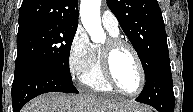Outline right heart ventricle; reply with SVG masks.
Listing matches in <instances>:
<instances>
[{
    "mask_svg": "<svg viewBox=\"0 0 193 112\" xmlns=\"http://www.w3.org/2000/svg\"><path fill=\"white\" fill-rule=\"evenodd\" d=\"M109 32V31H108ZM112 37H117L118 34H114L109 32ZM81 81L88 88L98 91V92H113V89L106 82L100 63V46L93 45L92 49V57L89 64V67L85 71V73L81 76Z\"/></svg>",
    "mask_w": 193,
    "mask_h": 112,
    "instance_id": "obj_1",
    "label": "right heart ventricle"
}]
</instances>
